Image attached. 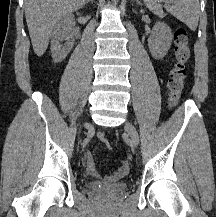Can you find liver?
<instances>
[{
  "mask_svg": "<svg viewBox=\"0 0 216 217\" xmlns=\"http://www.w3.org/2000/svg\"><path fill=\"white\" fill-rule=\"evenodd\" d=\"M86 0H25L26 22L33 50L42 56L49 45L54 26L71 12L81 9Z\"/></svg>",
  "mask_w": 216,
  "mask_h": 217,
  "instance_id": "obj_1",
  "label": "liver"
}]
</instances>
